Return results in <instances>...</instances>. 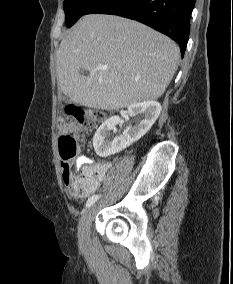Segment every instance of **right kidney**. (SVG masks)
Listing matches in <instances>:
<instances>
[{
	"mask_svg": "<svg viewBox=\"0 0 233 284\" xmlns=\"http://www.w3.org/2000/svg\"><path fill=\"white\" fill-rule=\"evenodd\" d=\"M161 112V105L157 101H143L128 107V115H140L142 119L135 125L128 126L119 137H111L110 131L121 122L119 116H112L97 129L93 137V147L100 157L116 154L129 147L143 137L152 127ZM128 119V117L126 118Z\"/></svg>",
	"mask_w": 233,
	"mask_h": 284,
	"instance_id": "obj_1",
	"label": "right kidney"
}]
</instances>
